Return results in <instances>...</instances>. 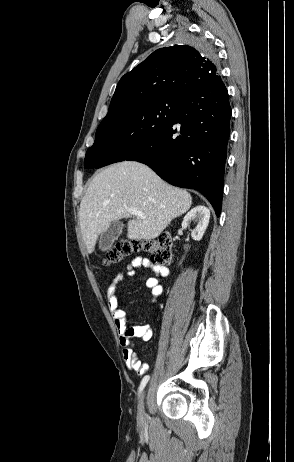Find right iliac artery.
Wrapping results in <instances>:
<instances>
[{
    "mask_svg": "<svg viewBox=\"0 0 294 462\" xmlns=\"http://www.w3.org/2000/svg\"><path fill=\"white\" fill-rule=\"evenodd\" d=\"M149 379H150V376H149V375L144 376V378H143L142 381H141L140 387H139L138 395H140V393L142 392V390H143L144 387L146 386V384H147V382L149 381Z\"/></svg>",
    "mask_w": 294,
    "mask_h": 462,
    "instance_id": "right-iliac-artery-1",
    "label": "right iliac artery"
}]
</instances>
